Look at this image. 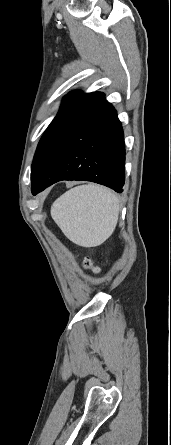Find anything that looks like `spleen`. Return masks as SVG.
Wrapping results in <instances>:
<instances>
[{
	"label": "spleen",
	"mask_w": 171,
	"mask_h": 445,
	"mask_svg": "<svg viewBox=\"0 0 171 445\" xmlns=\"http://www.w3.org/2000/svg\"><path fill=\"white\" fill-rule=\"evenodd\" d=\"M118 215V196L96 184L74 187L51 206V216L64 235L83 247L104 243L114 232Z\"/></svg>",
	"instance_id": "spleen-1"
}]
</instances>
